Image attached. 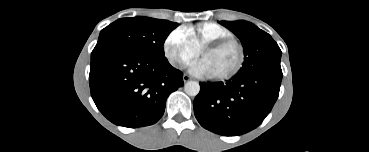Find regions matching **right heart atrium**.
I'll use <instances>...</instances> for the list:
<instances>
[{
    "mask_svg": "<svg viewBox=\"0 0 369 152\" xmlns=\"http://www.w3.org/2000/svg\"><path fill=\"white\" fill-rule=\"evenodd\" d=\"M163 52L168 62L177 69L187 66L198 55L182 28L174 29L167 35Z\"/></svg>",
    "mask_w": 369,
    "mask_h": 152,
    "instance_id": "d8ad5b80",
    "label": "right heart atrium"
}]
</instances>
